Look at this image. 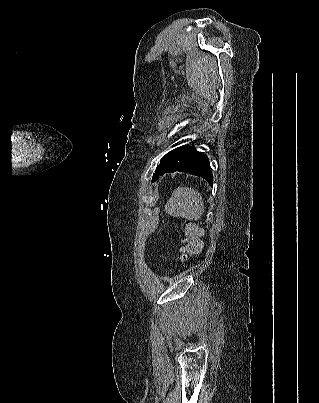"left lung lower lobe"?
<instances>
[{"label": "left lung lower lobe", "mask_w": 319, "mask_h": 403, "mask_svg": "<svg viewBox=\"0 0 319 403\" xmlns=\"http://www.w3.org/2000/svg\"><path fill=\"white\" fill-rule=\"evenodd\" d=\"M176 171L202 177L211 186L213 185L212 171L207 156L190 146H181L177 149L163 174Z\"/></svg>", "instance_id": "1"}]
</instances>
